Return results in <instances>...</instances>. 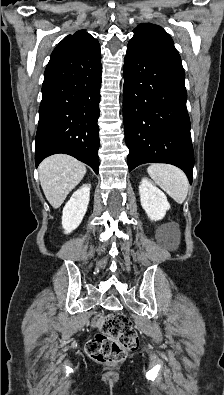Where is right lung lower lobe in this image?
I'll use <instances>...</instances> for the list:
<instances>
[{
    "label": "right lung lower lobe",
    "instance_id": "right-lung-lower-lobe-1",
    "mask_svg": "<svg viewBox=\"0 0 224 395\" xmlns=\"http://www.w3.org/2000/svg\"><path fill=\"white\" fill-rule=\"evenodd\" d=\"M101 54L81 50L64 38L44 73L36 133V167L47 156L69 154L98 174Z\"/></svg>",
    "mask_w": 224,
    "mask_h": 395
}]
</instances>
